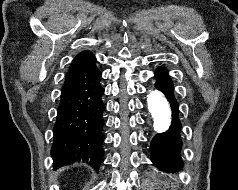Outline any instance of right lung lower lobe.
<instances>
[{
  "mask_svg": "<svg viewBox=\"0 0 238 190\" xmlns=\"http://www.w3.org/2000/svg\"><path fill=\"white\" fill-rule=\"evenodd\" d=\"M95 62L94 58L65 77L53 128L54 169L82 160L98 170L103 162L104 89Z\"/></svg>",
  "mask_w": 238,
  "mask_h": 190,
  "instance_id": "right-lung-lower-lobe-1",
  "label": "right lung lower lobe"
}]
</instances>
